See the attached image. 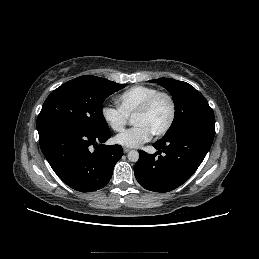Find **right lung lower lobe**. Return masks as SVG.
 <instances>
[{"instance_id":"right-lung-lower-lobe-1","label":"right lung lower lobe","mask_w":259,"mask_h":259,"mask_svg":"<svg viewBox=\"0 0 259 259\" xmlns=\"http://www.w3.org/2000/svg\"><path fill=\"white\" fill-rule=\"evenodd\" d=\"M110 137L109 130L95 132L58 125L39 132V143L50 166L65 184L77 191L92 192L109 182L123 154L120 145H104Z\"/></svg>"}]
</instances>
